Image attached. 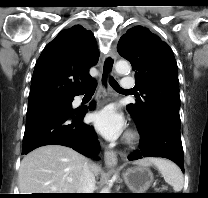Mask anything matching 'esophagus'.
<instances>
[{
  "mask_svg": "<svg viewBox=\"0 0 208 198\" xmlns=\"http://www.w3.org/2000/svg\"><path fill=\"white\" fill-rule=\"evenodd\" d=\"M115 61L116 53L114 51L108 53L103 59V63L101 66L100 84L105 92L108 89L109 77L114 73ZM104 160L107 165L115 166L117 164V155L112 150H105Z\"/></svg>",
  "mask_w": 208,
  "mask_h": 198,
  "instance_id": "34e87169",
  "label": "esophagus"
}]
</instances>
